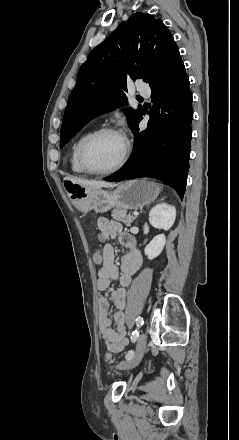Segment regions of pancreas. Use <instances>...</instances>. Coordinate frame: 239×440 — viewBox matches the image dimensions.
I'll return each instance as SVG.
<instances>
[{"label":"pancreas","mask_w":239,"mask_h":440,"mask_svg":"<svg viewBox=\"0 0 239 440\" xmlns=\"http://www.w3.org/2000/svg\"><path fill=\"white\" fill-rule=\"evenodd\" d=\"M111 216L113 220L124 222L126 226H131L133 220H135L136 218V216H131V214H127L126 210H112Z\"/></svg>","instance_id":"pancreas-1"}]
</instances>
